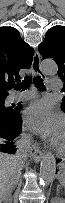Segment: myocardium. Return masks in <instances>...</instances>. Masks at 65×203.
Instances as JSON below:
<instances>
[{"label": "myocardium", "instance_id": "obj_1", "mask_svg": "<svg viewBox=\"0 0 65 203\" xmlns=\"http://www.w3.org/2000/svg\"><path fill=\"white\" fill-rule=\"evenodd\" d=\"M54 148L59 154H65V145L63 147H60L57 144H55Z\"/></svg>", "mask_w": 65, "mask_h": 203}]
</instances>
